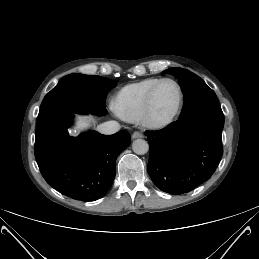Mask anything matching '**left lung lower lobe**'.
<instances>
[{"mask_svg":"<svg viewBox=\"0 0 259 259\" xmlns=\"http://www.w3.org/2000/svg\"><path fill=\"white\" fill-rule=\"evenodd\" d=\"M221 109L202 111L147 131L148 173L154 184L172 195L188 193L210 179L223 154Z\"/></svg>","mask_w":259,"mask_h":259,"instance_id":"obj_1","label":"left lung lower lobe"}]
</instances>
